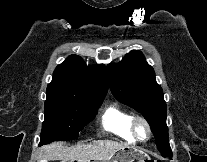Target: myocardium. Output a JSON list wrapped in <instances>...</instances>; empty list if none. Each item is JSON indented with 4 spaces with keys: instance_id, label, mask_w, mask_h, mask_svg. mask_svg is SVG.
Masks as SVG:
<instances>
[{
    "instance_id": "myocardium-1",
    "label": "myocardium",
    "mask_w": 207,
    "mask_h": 162,
    "mask_svg": "<svg viewBox=\"0 0 207 162\" xmlns=\"http://www.w3.org/2000/svg\"><path fill=\"white\" fill-rule=\"evenodd\" d=\"M140 124H142L146 129V136L144 139L139 138L137 135V128ZM130 132H131V135H132V138L134 139V141L145 142V141L149 140V138L151 136V127H150V124L148 123V121L144 117L135 116V117H133L131 124H130Z\"/></svg>"
}]
</instances>
